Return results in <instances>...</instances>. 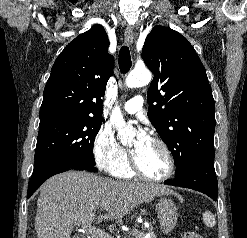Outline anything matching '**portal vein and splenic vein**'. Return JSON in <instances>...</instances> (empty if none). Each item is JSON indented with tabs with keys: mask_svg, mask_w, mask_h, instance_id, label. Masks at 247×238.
<instances>
[{
	"mask_svg": "<svg viewBox=\"0 0 247 238\" xmlns=\"http://www.w3.org/2000/svg\"><path fill=\"white\" fill-rule=\"evenodd\" d=\"M93 217L94 215H92L90 219L82 222V230H84L85 232H87L88 234L92 235L95 238H112L108 234L104 233L103 231L91 226L90 220ZM137 232H138V229H134L132 232H130V235H134Z\"/></svg>",
	"mask_w": 247,
	"mask_h": 238,
	"instance_id": "18ae733b",
	"label": "portal vein and splenic vein"
}]
</instances>
